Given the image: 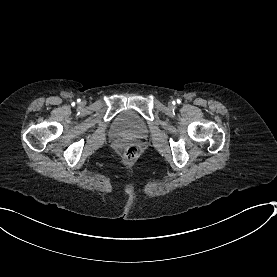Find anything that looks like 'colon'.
Returning <instances> with one entry per match:
<instances>
[{"label":"colon","instance_id":"obj_1","mask_svg":"<svg viewBox=\"0 0 277 277\" xmlns=\"http://www.w3.org/2000/svg\"><path fill=\"white\" fill-rule=\"evenodd\" d=\"M123 156L128 161H135L140 156V149L135 144H128L123 149Z\"/></svg>","mask_w":277,"mask_h":277}]
</instances>
